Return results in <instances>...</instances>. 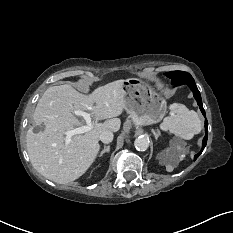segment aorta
<instances>
[{"label": "aorta", "instance_id": "762f6f07", "mask_svg": "<svg viewBox=\"0 0 233 233\" xmlns=\"http://www.w3.org/2000/svg\"><path fill=\"white\" fill-rule=\"evenodd\" d=\"M150 141L145 136H139L134 141V146L139 151H145L149 147Z\"/></svg>", "mask_w": 233, "mask_h": 233}]
</instances>
